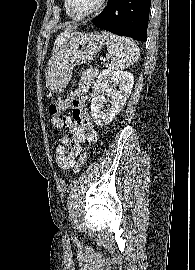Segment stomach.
I'll return each mask as SVG.
<instances>
[{
  "mask_svg": "<svg viewBox=\"0 0 195 270\" xmlns=\"http://www.w3.org/2000/svg\"><path fill=\"white\" fill-rule=\"evenodd\" d=\"M103 45L104 39L97 32H73L61 37L46 70L50 91H62L70 81L74 66L92 60Z\"/></svg>",
  "mask_w": 195,
  "mask_h": 270,
  "instance_id": "stomach-1",
  "label": "stomach"
}]
</instances>
